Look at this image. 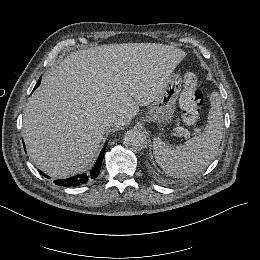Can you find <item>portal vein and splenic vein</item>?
I'll list each match as a JSON object with an SVG mask.
<instances>
[{"label":"portal vein and splenic vein","instance_id":"portal-vein-and-splenic-vein-1","mask_svg":"<svg viewBox=\"0 0 260 260\" xmlns=\"http://www.w3.org/2000/svg\"><path fill=\"white\" fill-rule=\"evenodd\" d=\"M176 133L179 137L183 136L185 139L190 137L189 131L181 126L176 128Z\"/></svg>","mask_w":260,"mask_h":260}]
</instances>
